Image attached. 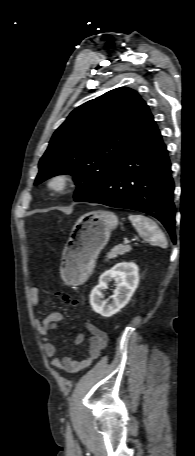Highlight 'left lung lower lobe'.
<instances>
[{
    "instance_id": "left-lung-lower-lobe-1",
    "label": "left lung lower lobe",
    "mask_w": 195,
    "mask_h": 456,
    "mask_svg": "<svg viewBox=\"0 0 195 456\" xmlns=\"http://www.w3.org/2000/svg\"><path fill=\"white\" fill-rule=\"evenodd\" d=\"M173 190L167 149L149 113L104 184L84 202L147 213L162 222L175 242Z\"/></svg>"
}]
</instances>
